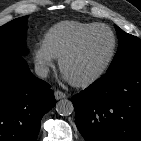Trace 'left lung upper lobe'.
<instances>
[{
    "mask_svg": "<svg viewBox=\"0 0 141 141\" xmlns=\"http://www.w3.org/2000/svg\"><path fill=\"white\" fill-rule=\"evenodd\" d=\"M119 39L118 51L106 73L141 63V40L115 25Z\"/></svg>",
    "mask_w": 141,
    "mask_h": 141,
    "instance_id": "obj_1",
    "label": "left lung upper lobe"
}]
</instances>
